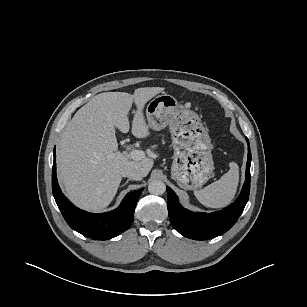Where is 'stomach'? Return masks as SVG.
I'll use <instances>...</instances> for the list:
<instances>
[{
	"instance_id": "0dacf381",
	"label": "stomach",
	"mask_w": 307,
	"mask_h": 307,
	"mask_svg": "<svg viewBox=\"0 0 307 307\" xmlns=\"http://www.w3.org/2000/svg\"><path fill=\"white\" fill-rule=\"evenodd\" d=\"M146 116L153 130L169 126L174 148L172 178L186 190L202 187L212 176L214 162L211 139L200 117L166 93L149 102Z\"/></svg>"
}]
</instances>
